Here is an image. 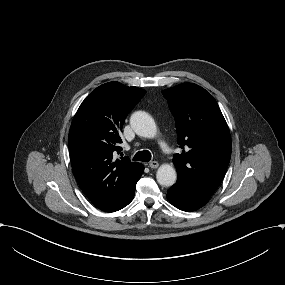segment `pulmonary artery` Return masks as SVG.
<instances>
[{
	"mask_svg": "<svg viewBox=\"0 0 285 285\" xmlns=\"http://www.w3.org/2000/svg\"><path fill=\"white\" fill-rule=\"evenodd\" d=\"M159 144H160V147H161V149L163 150V151H165V152H169L170 150H169V148L167 147V145L164 143V142H159Z\"/></svg>",
	"mask_w": 285,
	"mask_h": 285,
	"instance_id": "1",
	"label": "pulmonary artery"
}]
</instances>
